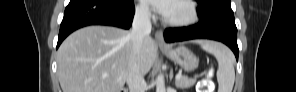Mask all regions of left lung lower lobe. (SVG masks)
I'll return each instance as SVG.
<instances>
[{
  "label": "left lung lower lobe",
  "instance_id": "left-lung-lower-lobe-1",
  "mask_svg": "<svg viewBox=\"0 0 296 92\" xmlns=\"http://www.w3.org/2000/svg\"><path fill=\"white\" fill-rule=\"evenodd\" d=\"M166 42H177L191 39H212L225 43L234 52L238 60L237 28L234 15L218 16L210 25H196L181 28H169L164 33Z\"/></svg>",
  "mask_w": 296,
  "mask_h": 92
}]
</instances>
